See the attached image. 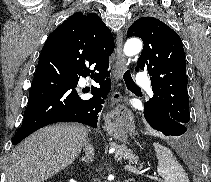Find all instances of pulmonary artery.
Here are the masks:
<instances>
[{
  "label": "pulmonary artery",
  "instance_id": "e3ab8cb5",
  "mask_svg": "<svg viewBox=\"0 0 211 182\" xmlns=\"http://www.w3.org/2000/svg\"><path fill=\"white\" fill-rule=\"evenodd\" d=\"M136 83L140 86H146L149 89V91H151L150 88H149V78L146 74L140 73L136 77Z\"/></svg>",
  "mask_w": 211,
  "mask_h": 182
}]
</instances>
